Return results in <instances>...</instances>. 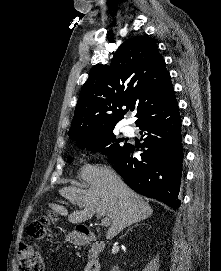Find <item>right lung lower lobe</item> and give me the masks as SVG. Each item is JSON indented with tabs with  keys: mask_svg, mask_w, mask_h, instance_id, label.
Returning <instances> with one entry per match:
<instances>
[{
	"mask_svg": "<svg viewBox=\"0 0 221 271\" xmlns=\"http://www.w3.org/2000/svg\"><path fill=\"white\" fill-rule=\"evenodd\" d=\"M135 124L144 130L141 132L144 152L136 158L133 156L135 147L128 144L112 162L115 170L137 193L178 209L183 147L177 101L145 115Z\"/></svg>",
	"mask_w": 221,
	"mask_h": 271,
	"instance_id": "98d812e1",
	"label": "right lung lower lobe"
}]
</instances>
